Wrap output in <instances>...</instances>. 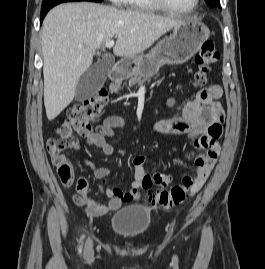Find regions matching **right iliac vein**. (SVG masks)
<instances>
[{
	"mask_svg": "<svg viewBox=\"0 0 265 269\" xmlns=\"http://www.w3.org/2000/svg\"><path fill=\"white\" fill-rule=\"evenodd\" d=\"M93 256V243L89 239L86 243L85 250H84V257L89 259Z\"/></svg>",
	"mask_w": 265,
	"mask_h": 269,
	"instance_id": "right-iliac-vein-1",
	"label": "right iliac vein"
}]
</instances>
